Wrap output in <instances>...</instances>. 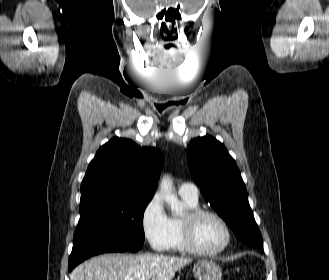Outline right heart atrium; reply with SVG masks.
<instances>
[{
  "label": "right heart atrium",
  "mask_w": 329,
  "mask_h": 280,
  "mask_svg": "<svg viewBox=\"0 0 329 280\" xmlns=\"http://www.w3.org/2000/svg\"><path fill=\"white\" fill-rule=\"evenodd\" d=\"M143 235L150 246L157 251L169 248L171 224L160 195H153L145 204L140 217Z\"/></svg>",
  "instance_id": "1"
}]
</instances>
